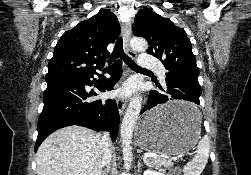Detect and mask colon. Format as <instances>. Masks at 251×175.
<instances>
[{
    "mask_svg": "<svg viewBox=\"0 0 251 175\" xmlns=\"http://www.w3.org/2000/svg\"><path fill=\"white\" fill-rule=\"evenodd\" d=\"M166 175H181L179 168L170 167L166 169Z\"/></svg>",
    "mask_w": 251,
    "mask_h": 175,
    "instance_id": "obj_1",
    "label": "colon"
}]
</instances>
